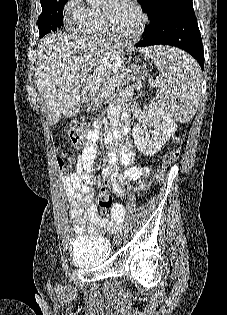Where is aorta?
Returning a JSON list of instances; mask_svg holds the SVG:
<instances>
[{"label":"aorta","instance_id":"aorta-1","mask_svg":"<svg viewBox=\"0 0 227 315\" xmlns=\"http://www.w3.org/2000/svg\"><path fill=\"white\" fill-rule=\"evenodd\" d=\"M104 0H86L90 5L101 4Z\"/></svg>","mask_w":227,"mask_h":315}]
</instances>
